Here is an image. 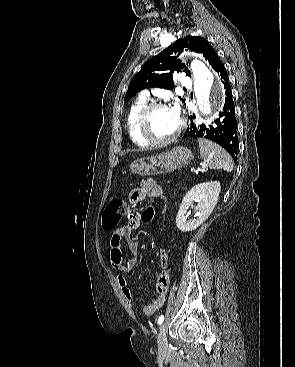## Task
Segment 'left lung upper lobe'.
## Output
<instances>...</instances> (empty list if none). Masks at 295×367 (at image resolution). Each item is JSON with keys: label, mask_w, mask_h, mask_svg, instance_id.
Listing matches in <instances>:
<instances>
[{"label": "left lung upper lobe", "mask_w": 295, "mask_h": 367, "mask_svg": "<svg viewBox=\"0 0 295 367\" xmlns=\"http://www.w3.org/2000/svg\"><path fill=\"white\" fill-rule=\"evenodd\" d=\"M183 50H190L203 54L212 68L219 58L216 51L205 38L199 36L180 38L158 55L151 58L141 70L135 74L130 82L124 99L130 98L146 88L159 87L168 90L173 89V74L176 72H186L187 76H191L188 68L178 59L179 53ZM181 100L184 102L183 99Z\"/></svg>", "instance_id": "obj_1"}]
</instances>
